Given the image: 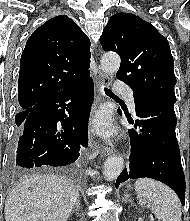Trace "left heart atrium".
<instances>
[{
	"label": "left heart atrium",
	"instance_id": "1",
	"mask_svg": "<svg viewBox=\"0 0 190 221\" xmlns=\"http://www.w3.org/2000/svg\"><path fill=\"white\" fill-rule=\"evenodd\" d=\"M93 130L102 136L111 137L115 134V128L111 122L110 116L107 112H99L92 120Z\"/></svg>",
	"mask_w": 190,
	"mask_h": 221
}]
</instances>
